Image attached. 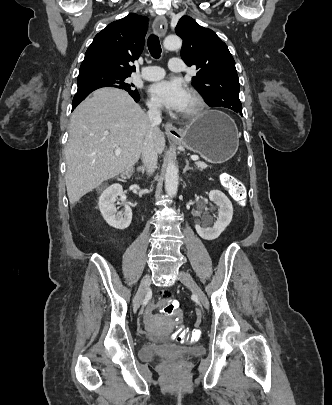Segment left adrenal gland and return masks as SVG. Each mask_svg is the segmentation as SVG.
Segmentation results:
<instances>
[{
  "mask_svg": "<svg viewBox=\"0 0 332 405\" xmlns=\"http://www.w3.org/2000/svg\"><path fill=\"white\" fill-rule=\"evenodd\" d=\"M188 170H192V168L189 167V162H188V160H186V166L183 169V173L185 174Z\"/></svg>",
  "mask_w": 332,
  "mask_h": 405,
  "instance_id": "obj_1",
  "label": "left adrenal gland"
}]
</instances>
